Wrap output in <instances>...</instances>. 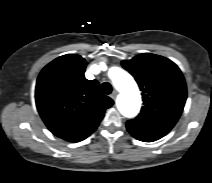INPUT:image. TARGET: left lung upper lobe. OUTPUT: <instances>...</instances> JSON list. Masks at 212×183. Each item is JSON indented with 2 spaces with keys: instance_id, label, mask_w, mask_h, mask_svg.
<instances>
[{
  "instance_id": "5c2ea615",
  "label": "left lung upper lobe",
  "mask_w": 212,
  "mask_h": 183,
  "mask_svg": "<svg viewBox=\"0 0 212 183\" xmlns=\"http://www.w3.org/2000/svg\"><path fill=\"white\" fill-rule=\"evenodd\" d=\"M122 66L135 77L144 101L141 113L127 122V129L166 135L186 101V84L180 69L171 60L150 53L124 60Z\"/></svg>"
}]
</instances>
